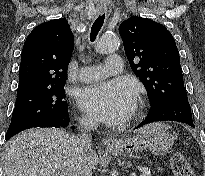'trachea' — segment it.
<instances>
[{"label": "trachea", "instance_id": "trachea-1", "mask_svg": "<svg viewBox=\"0 0 205 176\" xmlns=\"http://www.w3.org/2000/svg\"><path fill=\"white\" fill-rule=\"evenodd\" d=\"M105 15H99L98 18L94 21L91 32H90V40L93 42L96 39L97 34L104 24Z\"/></svg>", "mask_w": 205, "mask_h": 176}]
</instances>
